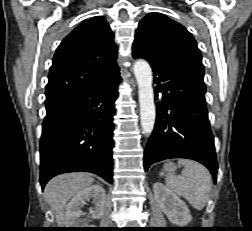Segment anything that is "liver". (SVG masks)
Returning a JSON list of instances; mask_svg holds the SVG:
<instances>
[{
	"label": "liver",
	"mask_w": 252,
	"mask_h": 231,
	"mask_svg": "<svg viewBox=\"0 0 252 231\" xmlns=\"http://www.w3.org/2000/svg\"><path fill=\"white\" fill-rule=\"evenodd\" d=\"M94 179L86 173H68L52 178L45 188V198L58 226L64 225V210L70 198L88 188Z\"/></svg>",
	"instance_id": "obj_1"
}]
</instances>
